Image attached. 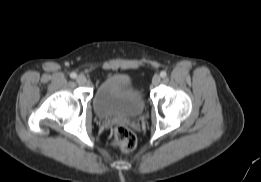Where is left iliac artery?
<instances>
[{
    "label": "left iliac artery",
    "mask_w": 261,
    "mask_h": 182,
    "mask_svg": "<svg viewBox=\"0 0 261 182\" xmlns=\"http://www.w3.org/2000/svg\"><path fill=\"white\" fill-rule=\"evenodd\" d=\"M160 76H161L162 78H165V77L167 76L166 71H161Z\"/></svg>",
    "instance_id": "44dca946"
}]
</instances>
